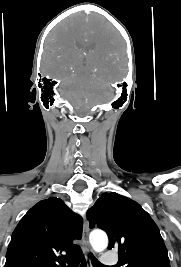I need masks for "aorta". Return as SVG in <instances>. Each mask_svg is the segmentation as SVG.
I'll return each instance as SVG.
<instances>
[{"label":"aorta","instance_id":"obj_1","mask_svg":"<svg viewBox=\"0 0 181 267\" xmlns=\"http://www.w3.org/2000/svg\"><path fill=\"white\" fill-rule=\"evenodd\" d=\"M90 244L94 251L102 252L108 246V237L103 231H93L89 236Z\"/></svg>","mask_w":181,"mask_h":267}]
</instances>
